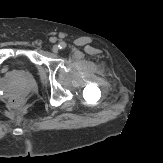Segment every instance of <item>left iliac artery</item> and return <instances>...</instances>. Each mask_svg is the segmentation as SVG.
Returning a JSON list of instances; mask_svg holds the SVG:
<instances>
[{
	"label": "left iliac artery",
	"mask_w": 163,
	"mask_h": 163,
	"mask_svg": "<svg viewBox=\"0 0 163 163\" xmlns=\"http://www.w3.org/2000/svg\"><path fill=\"white\" fill-rule=\"evenodd\" d=\"M58 46H59L60 49H65L66 48V43L65 42H60Z\"/></svg>",
	"instance_id": "left-iliac-artery-1"
}]
</instances>
